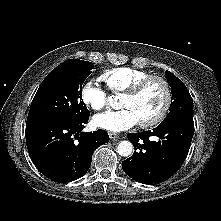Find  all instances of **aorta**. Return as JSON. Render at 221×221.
<instances>
[{"instance_id": "762f6f07", "label": "aorta", "mask_w": 221, "mask_h": 221, "mask_svg": "<svg viewBox=\"0 0 221 221\" xmlns=\"http://www.w3.org/2000/svg\"><path fill=\"white\" fill-rule=\"evenodd\" d=\"M109 104L113 107L115 104L114 99L111 97L108 98ZM133 145L130 141H121L118 144L117 152L120 156L127 157L132 154Z\"/></svg>"}]
</instances>
